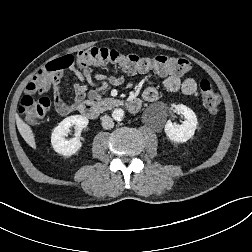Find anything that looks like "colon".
<instances>
[{"instance_id": "5ec220e1", "label": "colon", "mask_w": 252, "mask_h": 252, "mask_svg": "<svg viewBox=\"0 0 252 252\" xmlns=\"http://www.w3.org/2000/svg\"><path fill=\"white\" fill-rule=\"evenodd\" d=\"M115 65L127 72H146L155 70L158 73L186 75L191 70L188 60L181 57L157 55L142 57L136 54H123L115 49L93 47L79 51L75 57L65 55L48 62L32 81L27 85L26 94L22 97L18 111L29 123L38 122L50 109L51 101L43 96L35 98L37 93H43L58 79L64 70L72 67L81 69L91 66L104 67ZM199 92L204 107L210 114L218 111L220 96L211 83L203 79L199 83Z\"/></svg>"}]
</instances>
